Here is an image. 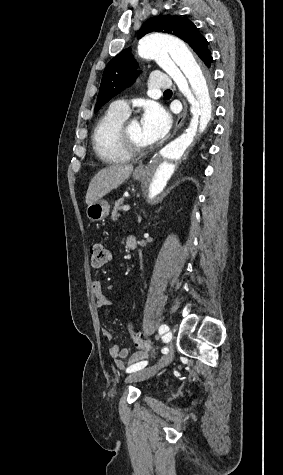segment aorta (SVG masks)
I'll return each mask as SVG.
<instances>
[{
	"instance_id": "aorta-1",
	"label": "aorta",
	"mask_w": 283,
	"mask_h": 475,
	"mask_svg": "<svg viewBox=\"0 0 283 475\" xmlns=\"http://www.w3.org/2000/svg\"><path fill=\"white\" fill-rule=\"evenodd\" d=\"M138 55L154 59L177 84L191 104L189 126L151 159L141 180L142 205L158 201L182 167L195 154L211 117L212 82L188 47L165 34L147 35L139 41Z\"/></svg>"
}]
</instances>
